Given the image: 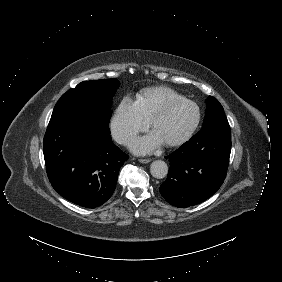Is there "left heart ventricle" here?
<instances>
[{
    "instance_id": "b2bd125f",
    "label": "left heart ventricle",
    "mask_w": 282,
    "mask_h": 282,
    "mask_svg": "<svg viewBox=\"0 0 282 282\" xmlns=\"http://www.w3.org/2000/svg\"><path fill=\"white\" fill-rule=\"evenodd\" d=\"M163 104L161 109L167 106ZM195 110L191 105L177 107L168 112L155 126V132L162 141H171L181 136L194 119Z\"/></svg>"
}]
</instances>
